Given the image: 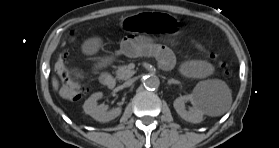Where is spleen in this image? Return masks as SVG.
Masks as SVG:
<instances>
[{"mask_svg": "<svg viewBox=\"0 0 279 148\" xmlns=\"http://www.w3.org/2000/svg\"><path fill=\"white\" fill-rule=\"evenodd\" d=\"M202 101H206L215 108V114L224 113L232 102L228 87L221 80H207L200 82L194 89Z\"/></svg>", "mask_w": 279, "mask_h": 148, "instance_id": "obj_1", "label": "spleen"}]
</instances>
